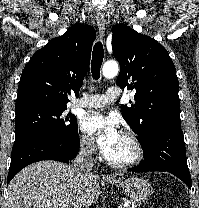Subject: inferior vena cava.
<instances>
[{"label": "inferior vena cava", "mask_w": 199, "mask_h": 208, "mask_svg": "<svg viewBox=\"0 0 199 208\" xmlns=\"http://www.w3.org/2000/svg\"><path fill=\"white\" fill-rule=\"evenodd\" d=\"M94 152V145L92 142H85L73 161L72 167L79 173H90L93 168L92 155Z\"/></svg>", "instance_id": "602c4592"}]
</instances>
